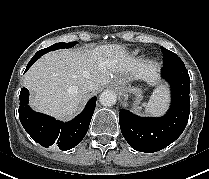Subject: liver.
I'll use <instances>...</instances> for the list:
<instances>
[{
	"label": "liver",
	"mask_w": 209,
	"mask_h": 179,
	"mask_svg": "<svg viewBox=\"0 0 209 179\" xmlns=\"http://www.w3.org/2000/svg\"><path fill=\"white\" fill-rule=\"evenodd\" d=\"M158 66L130 56L117 44L94 49H62L43 55L24 75V86L30 91V105L39 112L67 120L80 109L86 81L95 84L93 91L129 75L132 80L154 83Z\"/></svg>",
	"instance_id": "1"
}]
</instances>
